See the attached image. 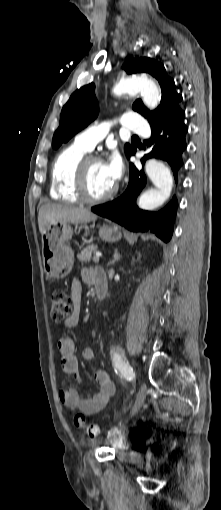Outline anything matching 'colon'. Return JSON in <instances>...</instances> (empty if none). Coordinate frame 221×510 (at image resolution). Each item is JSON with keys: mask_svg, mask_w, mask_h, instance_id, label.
I'll list each match as a JSON object with an SVG mask.
<instances>
[{"mask_svg": "<svg viewBox=\"0 0 221 510\" xmlns=\"http://www.w3.org/2000/svg\"><path fill=\"white\" fill-rule=\"evenodd\" d=\"M50 303L51 318L55 322L65 320L73 312L74 304L72 296L67 294L64 290L58 289L53 291ZM74 424L90 437H97L102 433L99 426L88 423L82 414H76L74 416Z\"/></svg>", "mask_w": 221, "mask_h": 510, "instance_id": "obj_1", "label": "colon"}]
</instances>
